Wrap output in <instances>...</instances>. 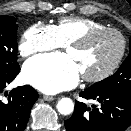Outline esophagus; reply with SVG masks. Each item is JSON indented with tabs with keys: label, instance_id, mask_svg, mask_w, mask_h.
Masks as SVG:
<instances>
[{
	"label": "esophagus",
	"instance_id": "esophagus-1",
	"mask_svg": "<svg viewBox=\"0 0 131 131\" xmlns=\"http://www.w3.org/2000/svg\"><path fill=\"white\" fill-rule=\"evenodd\" d=\"M43 99H44L45 101H52V100H54L55 98L52 97V96H49V95H44V96H43Z\"/></svg>",
	"mask_w": 131,
	"mask_h": 131
}]
</instances>
